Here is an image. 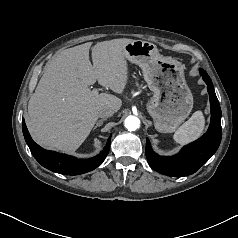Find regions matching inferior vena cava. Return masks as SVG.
Returning a JSON list of instances; mask_svg holds the SVG:
<instances>
[{
	"mask_svg": "<svg viewBox=\"0 0 238 238\" xmlns=\"http://www.w3.org/2000/svg\"><path fill=\"white\" fill-rule=\"evenodd\" d=\"M114 114V110L111 107L103 106L98 109V116L101 118H108Z\"/></svg>",
	"mask_w": 238,
	"mask_h": 238,
	"instance_id": "1",
	"label": "inferior vena cava"
}]
</instances>
